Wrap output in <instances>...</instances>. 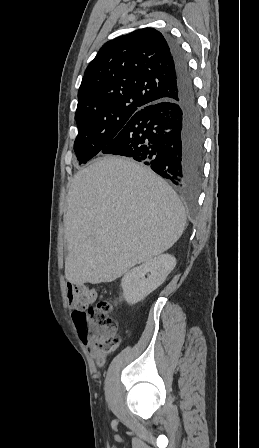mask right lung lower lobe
<instances>
[{
  "mask_svg": "<svg viewBox=\"0 0 259 448\" xmlns=\"http://www.w3.org/2000/svg\"><path fill=\"white\" fill-rule=\"evenodd\" d=\"M166 40L177 76L174 94L132 116L101 154L132 157L177 186H196L204 154L200 111L181 48Z\"/></svg>",
  "mask_w": 259,
  "mask_h": 448,
  "instance_id": "right-lung-lower-lobe-1",
  "label": "right lung lower lobe"
}]
</instances>
